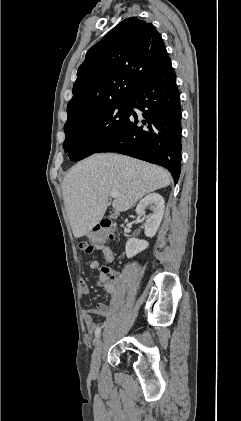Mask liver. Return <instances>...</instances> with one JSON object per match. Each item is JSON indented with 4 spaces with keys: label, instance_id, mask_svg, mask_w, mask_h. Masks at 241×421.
Segmentation results:
<instances>
[{
    "label": "liver",
    "instance_id": "obj_1",
    "mask_svg": "<svg viewBox=\"0 0 241 421\" xmlns=\"http://www.w3.org/2000/svg\"><path fill=\"white\" fill-rule=\"evenodd\" d=\"M163 168L115 153L93 154L73 166L63 180V198L75 238L88 234L103 218L110 192H118L112 206L118 212L169 186Z\"/></svg>",
    "mask_w": 241,
    "mask_h": 421
}]
</instances>
